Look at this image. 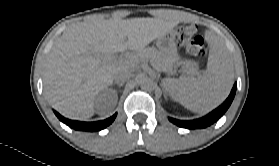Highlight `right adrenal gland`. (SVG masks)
I'll return each mask as SVG.
<instances>
[{
  "instance_id": "right-adrenal-gland-1",
  "label": "right adrenal gland",
  "mask_w": 279,
  "mask_h": 166,
  "mask_svg": "<svg viewBox=\"0 0 279 166\" xmlns=\"http://www.w3.org/2000/svg\"><path fill=\"white\" fill-rule=\"evenodd\" d=\"M114 84H117L120 89L123 86L124 82H120V83L115 82Z\"/></svg>"
}]
</instances>
